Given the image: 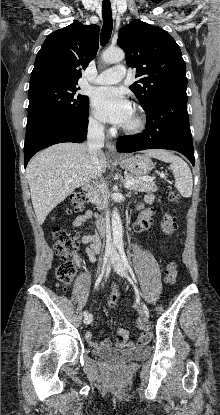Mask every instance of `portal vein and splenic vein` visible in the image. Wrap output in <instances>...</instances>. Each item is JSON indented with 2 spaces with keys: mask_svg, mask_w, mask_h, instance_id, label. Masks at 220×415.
Returning <instances> with one entry per match:
<instances>
[{
  "mask_svg": "<svg viewBox=\"0 0 220 415\" xmlns=\"http://www.w3.org/2000/svg\"><path fill=\"white\" fill-rule=\"evenodd\" d=\"M75 176H76V174H73V177H75ZM160 177L163 178L164 177V174L161 173L160 174ZM142 180H144V181H153L154 180V177L147 176V177H143ZM134 182H135L134 179H130V180L126 181L125 188L130 187L132 184H134Z\"/></svg>",
  "mask_w": 220,
  "mask_h": 415,
  "instance_id": "obj_1",
  "label": "portal vein and splenic vein"
}]
</instances>
